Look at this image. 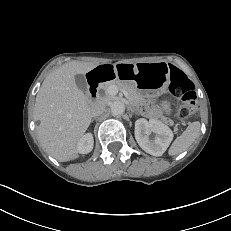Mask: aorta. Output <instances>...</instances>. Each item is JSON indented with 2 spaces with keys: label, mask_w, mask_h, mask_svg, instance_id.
<instances>
[{
  "label": "aorta",
  "mask_w": 231,
  "mask_h": 231,
  "mask_svg": "<svg viewBox=\"0 0 231 231\" xmlns=\"http://www.w3.org/2000/svg\"><path fill=\"white\" fill-rule=\"evenodd\" d=\"M110 108L113 115H121L125 111V105L121 101L112 102Z\"/></svg>",
  "instance_id": "obj_1"
}]
</instances>
